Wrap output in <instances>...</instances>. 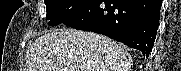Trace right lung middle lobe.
Here are the masks:
<instances>
[{
    "mask_svg": "<svg viewBox=\"0 0 181 71\" xmlns=\"http://www.w3.org/2000/svg\"><path fill=\"white\" fill-rule=\"evenodd\" d=\"M94 0H45L49 25H58L79 13Z\"/></svg>",
    "mask_w": 181,
    "mask_h": 71,
    "instance_id": "obj_1",
    "label": "right lung middle lobe"
}]
</instances>
